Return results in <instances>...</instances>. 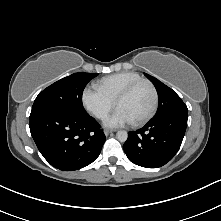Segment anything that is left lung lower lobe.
<instances>
[{
  "label": "left lung lower lobe",
  "instance_id": "1",
  "mask_svg": "<svg viewBox=\"0 0 221 221\" xmlns=\"http://www.w3.org/2000/svg\"><path fill=\"white\" fill-rule=\"evenodd\" d=\"M187 119L188 112L173 113L151 120L139 130L130 131L123 145L129 160L146 168L165 165L181 146Z\"/></svg>",
  "mask_w": 221,
  "mask_h": 221
}]
</instances>
